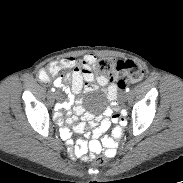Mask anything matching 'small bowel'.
Returning a JSON list of instances; mask_svg holds the SVG:
<instances>
[{"label":"small bowel","mask_w":183,"mask_h":183,"mask_svg":"<svg viewBox=\"0 0 183 183\" xmlns=\"http://www.w3.org/2000/svg\"><path fill=\"white\" fill-rule=\"evenodd\" d=\"M95 64L96 57L92 54H86L82 58L67 57L55 60L49 64L47 69L55 70V75L62 70L72 71L70 87L65 84L64 78L55 79L54 84L63 89L68 97L62 103H53L51 109L55 112L54 121L60 125L58 128L61 134L60 139L67 147H73L71 152L74 156L82 157L88 150L93 153L103 150L106 159L113 160L116 157L115 149L125 132L124 127L128 124L127 119L124 118V108L118 102L111 101L108 103L103 114L94 116L91 113H86L82 106V99L75 97L82 91L90 93L98 87H102L109 99L113 100L115 98L118 91L117 85L109 83L108 79L104 76H95L93 73ZM48 82L50 81L45 83ZM63 110L67 111L65 117L62 114ZM111 124L115 126L112 129V137H109L104 134L110 128ZM67 125L79 133L90 132L92 140L88 142L83 138H79L75 141Z\"/></svg>","instance_id":"obj_1"}]
</instances>
